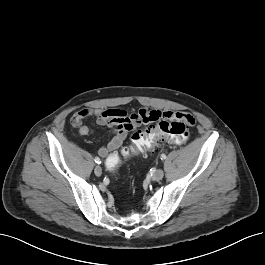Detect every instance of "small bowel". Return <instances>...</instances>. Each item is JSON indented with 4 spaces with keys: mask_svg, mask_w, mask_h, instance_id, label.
Instances as JSON below:
<instances>
[{
    "mask_svg": "<svg viewBox=\"0 0 265 265\" xmlns=\"http://www.w3.org/2000/svg\"><path fill=\"white\" fill-rule=\"evenodd\" d=\"M150 113L146 110L129 114L121 109L83 108L73 114L71 124L78 129V133L81 136H88L92 133V129L83 123L89 117H94L97 124L107 126L112 131L113 136L105 146L100 147L98 150L100 157L107 158L111 153L121 147L131 131L142 124L150 122ZM164 115L182 120H187L189 117H192L190 114L182 112H166Z\"/></svg>",
    "mask_w": 265,
    "mask_h": 265,
    "instance_id": "small-bowel-1",
    "label": "small bowel"
}]
</instances>
